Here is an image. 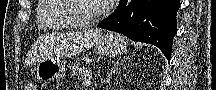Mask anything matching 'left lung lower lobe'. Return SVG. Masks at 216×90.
Here are the masks:
<instances>
[{
	"label": "left lung lower lobe",
	"mask_w": 216,
	"mask_h": 90,
	"mask_svg": "<svg viewBox=\"0 0 216 90\" xmlns=\"http://www.w3.org/2000/svg\"><path fill=\"white\" fill-rule=\"evenodd\" d=\"M179 6L180 0H121L119 7L98 27L153 44L169 61Z\"/></svg>",
	"instance_id": "1"
}]
</instances>
